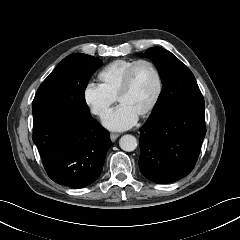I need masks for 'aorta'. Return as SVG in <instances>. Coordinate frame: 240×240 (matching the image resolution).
I'll return each instance as SVG.
<instances>
[{
  "mask_svg": "<svg viewBox=\"0 0 240 240\" xmlns=\"http://www.w3.org/2000/svg\"><path fill=\"white\" fill-rule=\"evenodd\" d=\"M120 148L124 151L131 152L137 147V139L133 135H124L119 140Z\"/></svg>",
  "mask_w": 240,
  "mask_h": 240,
  "instance_id": "762f6f07",
  "label": "aorta"
}]
</instances>
